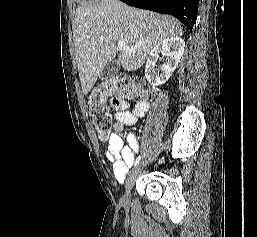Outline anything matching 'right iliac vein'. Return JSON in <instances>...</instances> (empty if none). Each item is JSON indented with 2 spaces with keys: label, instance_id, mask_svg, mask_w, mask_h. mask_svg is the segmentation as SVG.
I'll return each instance as SVG.
<instances>
[{
  "label": "right iliac vein",
  "instance_id": "right-iliac-vein-1",
  "mask_svg": "<svg viewBox=\"0 0 257 237\" xmlns=\"http://www.w3.org/2000/svg\"><path fill=\"white\" fill-rule=\"evenodd\" d=\"M143 164L144 163L141 162L134 169H132V171L129 173V176L127 178L126 185H125V193L122 197V202L124 205H127L130 203V191L135 183L137 174H138L139 170L141 169V167L143 166Z\"/></svg>",
  "mask_w": 257,
  "mask_h": 237
}]
</instances>
